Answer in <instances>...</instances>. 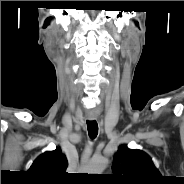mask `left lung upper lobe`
<instances>
[{"label": "left lung upper lobe", "instance_id": "obj_1", "mask_svg": "<svg viewBox=\"0 0 184 184\" xmlns=\"http://www.w3.org/2000/svg\"><path fill=\"white\" fill-rule=\"evenodd\" d=\"M112 180L117 184H159L161 174L143 151L119 147L114 156Z\"/></svg>", "mask_w": 184, "mask_h": 184}]
</instances>
